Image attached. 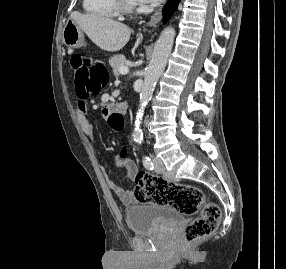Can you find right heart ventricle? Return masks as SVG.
<instances>
[{"label": "right heart ventricle", "instance_id": "e07e8e85", "mask_svg": "<svg viewBox=\"0 0 286 269\" xmlns=\"http://www.w3.org/2000/svg\"><path fill=\"white\" fill-rule=\"evenodd\" d=\"M82 7L85 13L96 18L112 19L118 15L113 0H82Z\"/></svg>", "mask_w": 286, "mask_h": 269}]
</instances>
